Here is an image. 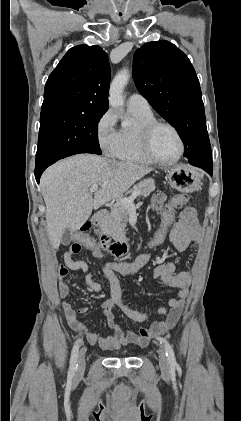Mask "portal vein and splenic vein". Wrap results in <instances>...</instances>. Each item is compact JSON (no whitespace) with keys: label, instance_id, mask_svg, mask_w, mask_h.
Wrapping results in <instances>:
<instances>
[{"label":"portal vein and splenic vein","instance_id":"18ae733b","mask_svg":"<svg viewBox=\"0 0 241 421\" xmlns=\"http://www.w3.org/2000/svg\"><path fill=\"white\" fill-rule=\"evenodd\" d=\"M98 187H99V185L98 184H93L91 187H90V192H96L97 190H98ZM139 192H135V193H133L130 197H127V198H121L120 200H119V202H118V204H120V205H123V206H126V207H128V208H134L135 207V205H134V199L137 197V196H139Z\"/></svg>","mask_w":241,"mask_h":421}]
</instances>
